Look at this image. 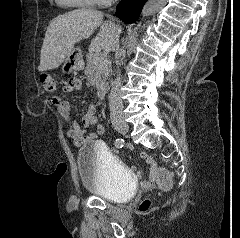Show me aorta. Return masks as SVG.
Segmentation results:
<instances>
[{
	"label": "aorta",
	"instance_id": "obj_1",
	"mask_svg": "<svg viewBox=\"0 0 240 238\" xmlns=\"http://www.w3.org/2000/svg\"><path fill=\"white\" fill-rule=\"evenodd\" d=\"M166 4V0H148L142 10V16L148 17L160 11ZM111 80V85H113Z\"/></svg>",
	"mask_w": 240,
	"mask_h": 238
}]
</instances>
